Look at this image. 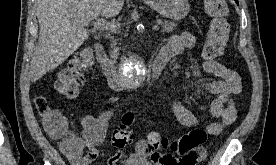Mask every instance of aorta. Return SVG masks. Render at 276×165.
Instances as JSON below:
<instances>
[{"mask_svg":"<svg viewBox=\"0 0 276 165\" xmlns=\"http://www.w3.org/2000/svg\"><path fill=\"white\" fill-rule=\"evenodd\" d=\"M145 75V65L139 59L131 57L125 61L122 68V77L127 85L139 87Z\"/></svg>","mask_w":276,"mask_h":165,"instance_id":"1","label":"aorta"}]
</instances>
